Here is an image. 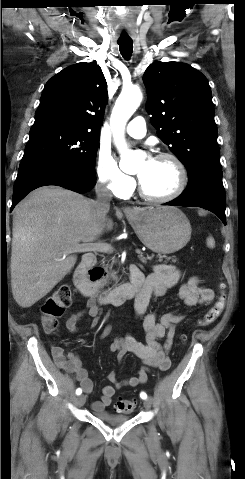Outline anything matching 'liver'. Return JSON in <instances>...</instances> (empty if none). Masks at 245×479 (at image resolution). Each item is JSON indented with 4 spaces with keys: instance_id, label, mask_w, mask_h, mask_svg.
I'll return each instance as SVG.
<instances>
[{
    "instance_id": "6515ba94",
    "label": "liver",
    "mask_w": 245,
    "mask_h": 479,
    "mask_svg": "<svg viewBox=\"0 0 245 479\" xmlns=\"http://www.w3.org/2000/svg\"><path fill=\"white\" fill-rule=\"evenodd\" d=\"M112 227L80 194L57 186L33 191L13 215L10 268L17 304L28 308L46 296L74 267V245L93 242Z\"/></svg>"
}]
</instances>
